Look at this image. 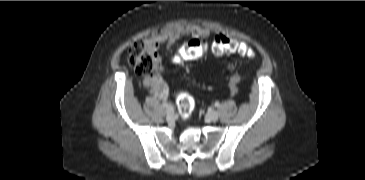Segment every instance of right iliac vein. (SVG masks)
Masks as SVG:
<instances>
[{"instance_id": "right-iliac-vein-1", "label": "right iliac vein", "mask_w": 365, "mask_h": 180, "mask_svg": "<svg viewBox=\"0 0 365 180\" xmlns=\"http://www.w3.org/2000/svg\"><path fill=\"white\" fill-rule=\"evenodd\" d=\"M166 113L168 116H172L174 114V108L172 107V105H168L166 107Z\"/></svg>"}]
</instances>
